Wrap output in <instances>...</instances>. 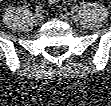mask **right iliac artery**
I'll use <instances>...</instances> for the list:
<instances>
[{"label":"right iliac artery","mask_w":111,"mask_h":106,"mask_svg":"<svg viewBox=\"0 0 111 106\" xmlns=\"http://www.w3.org/2000/svg\"><path fill=\"white\" fill-rule=\"evenodd\" d=\"M35 11L38 13V12H41L42 11V7L41 6H37L36 8H35Z\"/></svg>","instance_id":"1"}]
</instances>
